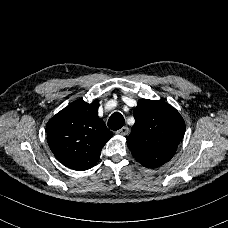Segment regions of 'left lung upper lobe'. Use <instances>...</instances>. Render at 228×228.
I'll return each instance as SVG.
<instances>
[{
    "mask_svg": "<svg viewBox=\"0 0 228 228\" xmlns=\"http://www.w3.org/2000/svg\"><path fill=\"white\" fill-rule=\"evenodd\" d=\"M133 115L135 124L126 139L134 158L147 168L168 162L185 133L181 115L158 100H139Z\"/></svg>",
    "mask_w": 228,
    "mask_h": 228,
    "instance_id": "obj_1",
    "label": "left lung upper lobe"
}]
</instances>
